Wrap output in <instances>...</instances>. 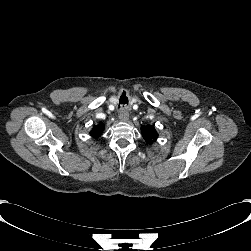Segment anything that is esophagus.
Segmentation results:
<instances>
[{"label":"esophagus","instance_id":"obj_1","mask_svg":"<svg viewBox=\"0 0 251 251\" xmlns=\"http://www.w3.org/2000/svg\"><path fill=\"white\" fill-rule=\"evenodd\" d=\"M119 119L126 122L129 119V114L126 110L122 109L119 113Z\"/></svg>","mask_w":251,"mask_h":251}]
</instances>
